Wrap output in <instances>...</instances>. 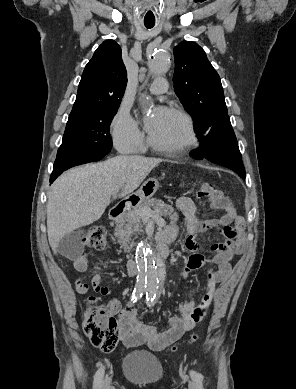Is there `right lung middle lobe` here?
Listing matches in <instances>:
<instances>
[{"mask_svg":"<svg viewBox=\"0 0 296 389\" xmlns=\"http://www.w3.org/2000/svg\"><path fill=\"white\" fill-rule=\"evenodd\" d=\"M118 108L94 109L81 118L68 120L54 169L67 170L107 155L112 147L110 123Z\"/></svg>","mask_w":296,"mask_h":389,"instance_id":"right-lung-middle-lobe-1","label":"right lung middle lobe"}]
</instances>
